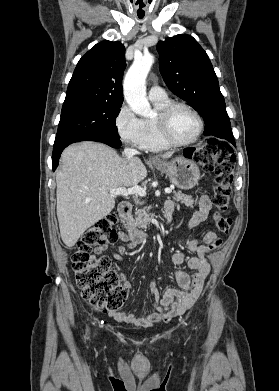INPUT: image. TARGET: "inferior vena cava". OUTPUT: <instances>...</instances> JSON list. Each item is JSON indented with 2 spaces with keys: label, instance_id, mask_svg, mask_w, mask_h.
<instances>
[{
  "label": "inferior vena cava",
  "instance_id": "obj_1",
  "mask_svg": "<svg viewBox=\"0 0 279 391\" xmlns=\"http://www.w3.org/2000/svg\"><path fill=\"white\" fill-rule=\"evenodd\" d=\"M124 154L128 159H130V158H133L135 155L139 154V152L135 149L125 148Z\"/></svg>",
  "mask_w": 279,
  "mask_h": 391
}]
</instances>
